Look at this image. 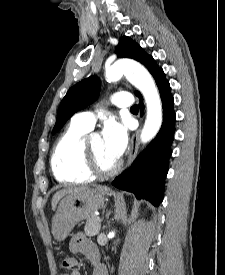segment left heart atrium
<instances>
[{
  "label": "left heart atrium",
  "mask_w": 225,
  "mask_h": 275,
  "mask_svg": "<svg viewBox=\"0 0 225 275\" xmlns=\"http://www.w3.org/2000/svg\"><path fill=\"white\" fill-rule=\"evenodd\" d=\"M102 135L107 155L117 161L127 146L128 136L125 125L110 120L105 124Z\"/></svg>",
  "instance_id": "1"
}]
</instances>
